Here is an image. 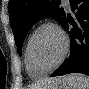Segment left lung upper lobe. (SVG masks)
<instances>
[{
  "mask_svg": "<svg viewBox=\"0 0 89 89\" xmlns=\"http://www.w3.org/2000/svg\"><path fill=\"white\" fill-rule=\"evenodd\" d=\"M59 5L60 0H9L10 24L19 54L27 32L36 21L51 17L63 24L65 12Z\"/></svg>",
  "mask_w": 89,
  "mask_h": 89,
  "instance_id": "1",
  "label": "left lung upper lobe"
}]
</instances>
